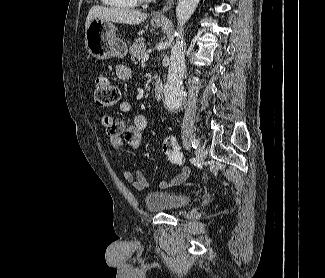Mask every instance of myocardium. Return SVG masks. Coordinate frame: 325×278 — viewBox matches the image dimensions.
<instances>
[{
    "label": "myocardium",
    "instance_id": "obj_1",
    "mask_svg": "<svg viewBox=\"0 0 325 278\" xmlns=\"http://www.w3.org/2000/svg\"><path fill=\"white\" fill-rule=\"evenodd\" d=\"M138 1H141V2H150L151 0H138Z\"/></svg>",
    "mask_w": 325,
    "mask_h": 278
}]
</instances>
